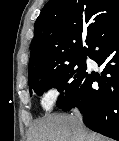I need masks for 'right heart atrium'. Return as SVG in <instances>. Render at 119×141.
Segmentation results:
<instances>
[{
	"instance_id": "right-heart-atrium-1",
	"label": "right heart atrium",
	"mask_w": 119,
	"mask_h": 141,
	"mask_svg": "<svg viewBox=\"0 0 119 141\" xmlns=\"http://www.w3.org/2000/svg\"><path fill=\"white\" fill-rule=\"evenodd\" d=\"M59 90L55 85H50L42 94V104L45 107L50 106L58 97Z\"/></svg>"
}]
</instances>
